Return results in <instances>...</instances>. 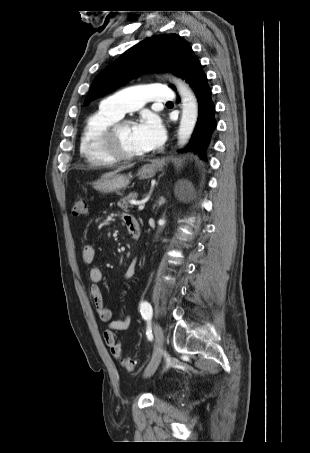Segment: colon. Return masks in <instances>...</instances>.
<instances>
[{
  "mask_svg": "<svg viewBox=\"0 0 310 453\" xmlns=\"http://www.w3.org/2000/svg\"><path fill=\"white\" fill-rule=\"evenodd\" d=\"M87 211V201L83 197H78L73 203L72 213L75 216L85 214ZM122 367L127 371H132L135 368V360L131 357H125L121 359Z\"/></svg>",
  "mask_w": 310,
  "mask_h": 453,
  "instance_id": "1",
  "label": "colon"
}]
</instances>
